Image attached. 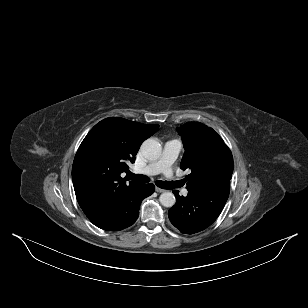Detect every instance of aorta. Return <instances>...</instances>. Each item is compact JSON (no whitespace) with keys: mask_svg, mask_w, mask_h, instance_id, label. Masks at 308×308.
<instances>
[{"mask_svg":"<svg viewBox=\"0 0 308 308\" xmlns=\"http://www.w3.org/2000/svg\"><path fill=\"white\" fill-rule=\"evenodd\" d=\"M141 152L145 158L156 160L162 154V147L158 141L149 138L142 143ZM159 201L164 207H172L176 202V198L172 192H164L160 195Z\"/></svg>","mask_w":308,"mask_h":308,"instance_id":"obj_1","label":"aorta"}]
</instances>
